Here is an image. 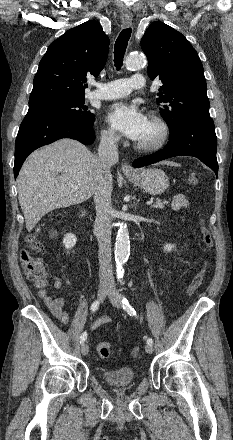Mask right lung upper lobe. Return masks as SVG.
Returning <instances> with one entry per match:
<instances>
[{"label": "right lung upper lobe", "instance_id": "1", "mask_svg": "<svg viewBox=\"0 0 233 440\" xmlns=\"http://www.w3.org/2000/svg\"><path fill=\"white\" fill-rule=\"evenodd\" d=\"M109 50V38L96 21L68 30L52 42L39 63L29 104L57 98H84L86 76H98Z\"/></svg>", "mask_w": 233, "mask_h": 440}]
</instances>
